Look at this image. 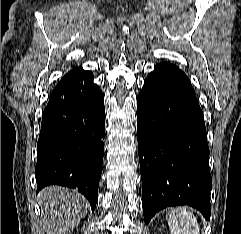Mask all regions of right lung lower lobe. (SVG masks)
Segmentation results:
<instances>
[{
	"mask_svg": "<svg viewBox=\"0 0 241 234\" xmlns=\"http://www.w3.org/2000/svg\"><path fill=\"white\" fill-rule=\"evenodd\" d=\"M93 74L81 67L56 85L43 112L35 177L37 192L48 185L75 188L94 211L105 137L104 96Z\"/></svg>",
	"mask_w": 241,
	"mask_h": 234,
	"instance_id": "right-lung-lower-lobe-1",
	"label": "right lung lower lobe"
}]
</instances>
